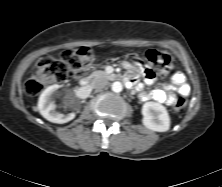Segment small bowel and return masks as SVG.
<instances>
[{"mask_svg": "<svg viewBox=\"0 0 222 187\" xmlns=\"http://www.w3.org/2000/svg\"><path fill=\"white\" fill-rule=\"evenodd\" d=\"M128 68V74L127 77H130L133 81V85H135L136 89L138 91L141 90V84L137 82L136 79V68L132 64L127 65ZM145 81L148 84H151L154 82V77L148 73V71L145 72ZM173 83L167 84L163 87V89H155L149 93L146 92H140V97L143 100H153L156 102L164 103L167 105L174 104L176 100V94H183L188 95L190 92V87L188 83L186 82V78L183 73L177 72L173 75L172 78Z\"/></svg>", "mask_w": 222, "mask_h": 187, "instance_id": "1", "label": "small bowel"}]
</instances>
